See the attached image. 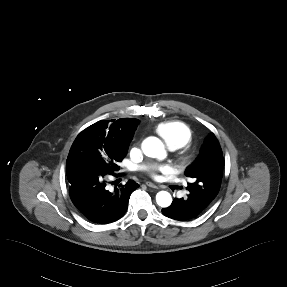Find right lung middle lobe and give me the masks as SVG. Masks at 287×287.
I'll list each match as a JSON object with an SVG mask.
<instances>
[{
	"mask_svg": "<svg viewBox=\"0 0 287 287\" xmlns=\"http://www.w3.org/2000/svg\"><path fill=\"white\" fill-rule=\"evenodd\" d=\"M127 150L128 148L103 144L82 131L70 149L66 169L80 164H92L106 171L116 172L119 170L117 164L126 156Z\"/></svg>",
	"mask_w": 287,
	"mask_h": 287,
	"instance_id": "right-lung-middle-lobe-1",
	"label": "right lung middle lobe"
}]
</instances>
